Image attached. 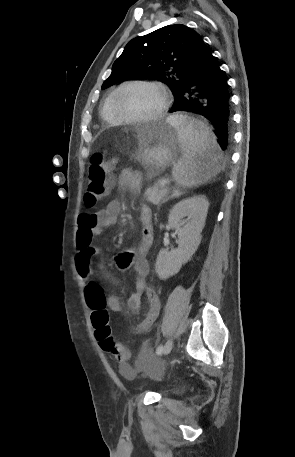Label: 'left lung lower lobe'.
Returning <instances> with one entry per match:
<instances>
[{"label": "left lung lower lobe", "instance_id": "1", "mask_svg": "<svg viewBox=\"0 0 295 457\" xmlns=\"http://www.w3.org/2000/svg\"><path fill=\"white\" fill-rule=\"evenodd\" d=\"M191 111L207 118L214 127L215 140L227 150L231 140L229 93L223 71L203 42L185 74L170 112Z\"/></svg>", "mask_w": 295, "mask_h": 457}]
</instances>
